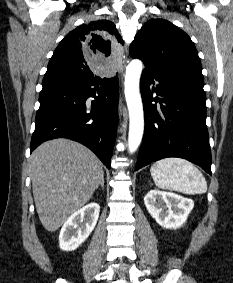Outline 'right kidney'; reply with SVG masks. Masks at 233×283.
Masks as SVG:
<instances>
[{
    "label": "right kidney",
    "mask_w": 233,
    "mask_h": 283,
    "mask_svg": "<svg viewBox=\"0 0 233 283\" xmlns=\"http://www.w3.org/2000/svg\"><path fill=\"white\" fill-rule=\"evenodd\" d=\"M99 212V204L92 202L72 214L60 231V248L64 251L78 248L95 228Z\"/></svg>",
    "instance_id": "1"
}]
</instances>
